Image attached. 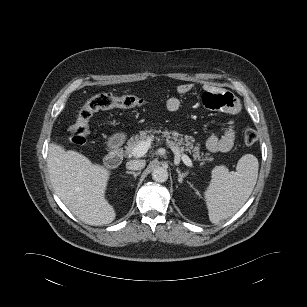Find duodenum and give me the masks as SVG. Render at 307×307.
I'll return each mask as SVG.
<instances>
[{
  "instance_id": "obj_1",
  "label": "duodenum",
  "mask_w": 307,
  "mask_h": 307,
  "mask_svg": "<svg viewBox=\"0 0 307 307\" xmlns=\"http://www.w3.org/2000/svg\"><path fill=\"white\" fill-rule=\"evenodd\" d=\"M123 142L124 138L121 135H114L108 143V153L104 158V163L107 167H116L123 160Z\"/></svg>"
}]
</instances>
